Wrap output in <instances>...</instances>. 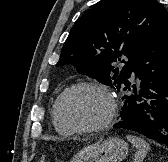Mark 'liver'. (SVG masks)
<instances>
[{
	"label": "liver",
	"instance_id": "6515ba94",
	"mask_svg": "<svg viewBox=\"0 0 168 162\" xmlns=\"http://www.w3.org/2000/svg\"><path fill=\"white\" fill-rule=\"evenodd\" d=\"M95 146H96V145L88 146L87 148L82 149V150L79 152V154L82 153V152H84V151H86V150H88V149H91V148H93V147H95Z\"/></svg>",
	"mask_w": 168,
	"mask_h": 162
}]
</instances>
